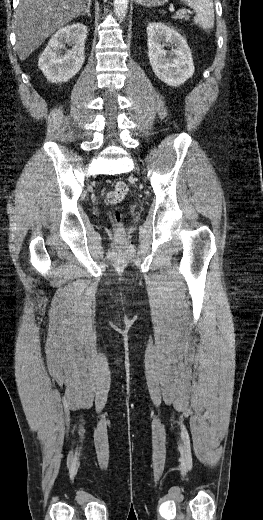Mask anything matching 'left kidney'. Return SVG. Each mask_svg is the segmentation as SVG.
<instances>
[{
	"mask_svg": "<svg viewBox=\"0 0 263 520\" xmlns=\"http://www.w3.org/2000/svg\"><path fill=\"white\" fill-rule=\"evenodd\" d=\"M148 57L155 75L169 86H180L194 74L193 58L184 37L160 22L147 27ZM174 45L167 51L165 47Z\"/></svg>",
	"mask_w": 263,
	"mask_h": 520,
	"instance_id": "obj_1",
	"label": "left kidney"
}]
</instances>
